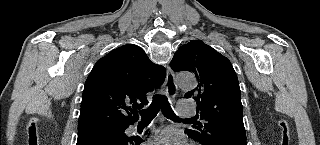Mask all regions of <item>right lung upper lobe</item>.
Returning a JSON list of instances; mask_svg holds the SVG:
<instances>
[{
  "label": "right lung upper lobe",
  "instance_id": "right-lung-upper-lobe-1",
  "mask_svg": "<svg viewBox=\"0 0 320 145\" xmlns=\"http://www.w3.org/2000/svg\"><path fill=\"white\" fill-rule=\"evenodd\" d=\"M166 69L149 60L137 45L126 44L94 65L82 96L78 132L134 124L146 93L160 86ZM134 113V114H133Z\"/></svg>",
  "mask_w": 320,
  "mask_h": 145
}]
</instances>
